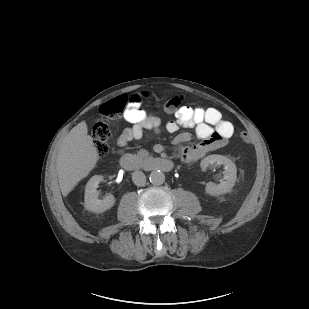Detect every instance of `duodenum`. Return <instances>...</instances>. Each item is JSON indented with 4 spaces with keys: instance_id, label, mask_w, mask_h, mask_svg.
I'll list each match as a JSON object with an SVG mask.
<instances>
[{
    "instance_id": "obj_1",
    "label": "duodenum",
    "mask_w": 309,
    "mask_h": 309,
    "mask_svg": "<svg viewBox=\"0 0 309 309\" xmlns=\"http://www.w3.org/2000/svg\"><path fill=\"white\" fill-rule=\"evenodd\" d=\"M120 165L128 171L144 168L151 171L169 172L173 168V163L169 159L148 157L143 161H138L129 154H125L120 158Z\"/></svg>"
}]
</instances>
